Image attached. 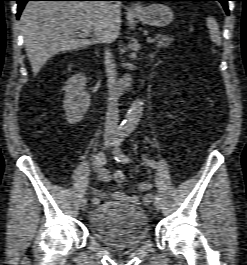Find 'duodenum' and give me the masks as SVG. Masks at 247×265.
I'll list each match as a JSON object with an SVG mask.
<instances>
[{"mask_svg":"<svg viewBox=\"0 0 247 265\" xmlns=\"http://www.w3.org/2000/svg\"><path fill=\"white\" fill-rule=\"evenodd\" d=\"M131 86V76L129 74H125L121 77L118 82V85L114 91L115 95L119 98H123L126 93L129 91Z\"/></svg>","mask_w":247,"mask_h":265,"instance_id":"1","label":"duodenum"}]
</instances>
